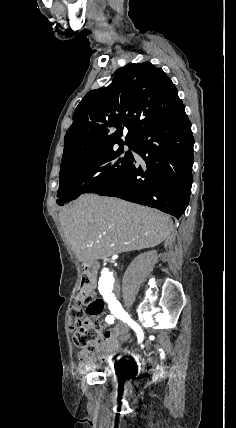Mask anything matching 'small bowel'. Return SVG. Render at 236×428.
<instances>
[{
  "mask_svg": "<svg viewBox=\"0 0 236 428\" xmlns=\"http://www.w3.org/2000/svg\"><path fill=\"white\" fill-rule=\"evenodd\" d=\"M103 336L104 340L97 351L82 350L79 352V369L81 371L92 368L98 362L113 364L120 358V352H127V350L121 348L122 343L129 336V328L126 324L119 323L114 328L106 331ZM149 346L148 344L147 347Z\"/></svg>",
  "mask_w": 236,
  "mask_h": 428,
  "instance_id": "c3829d8e",
  "label": "small bowel"
}]
</instances>
